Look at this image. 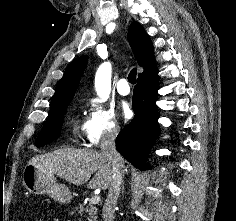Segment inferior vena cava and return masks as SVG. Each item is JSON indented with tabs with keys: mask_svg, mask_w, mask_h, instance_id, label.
I'll use <instances>...</instances> for the list:
<instances>
[{
	"mask_svg": "<svg viewBox=\"0 0 236 221\" xmlns=\"http://www.w3.org/2000/svg\"><path fill=\"white\" fill-rule=\"evenodd\" d=\"M118 132L119 128L117 127L106 130L103 132L101 139V153L107 159L108 164L112 168V177L109 184L108 195L102 210L103 221L114 220V210L123 182L124 159L115 147V139Z\"/></svg>",
	"mask_w": 236,
	"mask_h": 221,
	"instance_id": "602c4592",
	"label": "inferior vena cava"
}]
</instances>
